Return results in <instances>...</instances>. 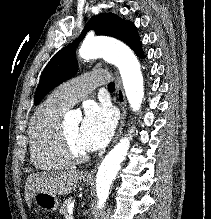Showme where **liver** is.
I'll return each instance as SVG.
<instances>
[{"label": "liver", "mask_w": 211, "mask_h": 219, "mask_svg": "<svg viewBox=\"0 0 211 219\" xmlns=\"http://www.w3.org/2000/svg\"><path fill=\"white\" fill-rule=\"evenodd\" d=\"M82 178L83 172L76 170L30 174L25 185L27 204H31L33 195L38 192L53 195L70 194L76 189Z\"/></svg>", "instance_id": "liver-1"}]
</instances>
